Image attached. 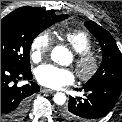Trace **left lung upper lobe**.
Returning <instances> with one entry per match:
<instances>
[{"mask_svg": "<svg viewBox=\"0 0 122 122\" xmlns=\"http://www.w3.org/2000/svg\"><path fill=\"white\" fill-rule=\"evenodd\" d=\"M85 26L96 37L103 52L102 63L96 74L84 86L104 84L122 85V54L110 33L93 21Z\"/></svg>", "mask_w": 122, "mask_h": 122, "instance_id": "left-lung-upper-lobe-1", "label": "left lung upper lobe"}]
</instances>
